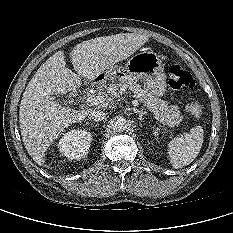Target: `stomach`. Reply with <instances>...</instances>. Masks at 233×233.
Returning <instances> with one entry per match:
<instances>
[{
    "instance_id": "1",
    "label": "stomach",
    "mask_w": 233,
    "mask_h": 233,
    "mask_svg": "<svg viewBox=\"0 0 233 233\" xmlns=\"http://www.w3.org/2000/svg\"><path fill=\"white\" fill-rule=\"evenodd\" d=\"M103 75L120 82L143 79L149 91L157 97L166 92V73L159 56L153 51L144 50L133 55L125 66L112 65Z\"/></svg>"
}]
</instances>
